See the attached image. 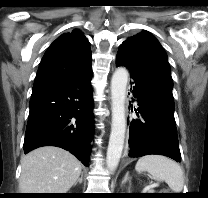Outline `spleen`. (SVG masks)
I'll list each match as a JSON object with an SVG mask.
<instances>
[{"mask_svg": "<svg viewBox=\"0 0 208 198\" xmlns=\"http://www.w3.org/2000/svg\"><path fill=\"white\" fill-rule=\"evenodd\" d=\"M138 172L147 171L158 181H165L174 193H180L184 185L183 170L175 161L162 155L141 157L135 166Z\"/></svg>", "mask_w": 208, "mask_h": 198, "instance_id": "3e777b00", "label": "spleen"}]
</instances>
